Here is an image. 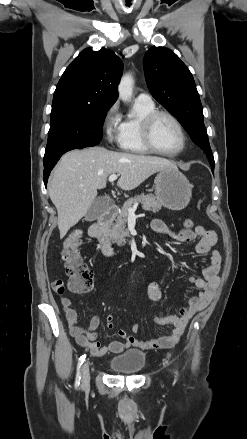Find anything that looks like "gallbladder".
I'll list each match as a JSON object with an SVG mask.
<instances>
[{"label": "gallbladder", "mask_w": 247, "mask_h": 439, "mask_svg": "<svg viewBox=\"0 0 247 439\" xmlns=\"http://www.w3.org/2000/svg\"><path fill=\"white\" fill-rule=\"evenodd\" d=\"M107 209V200L104 197H98L94 200L85 215V220H96Z\"/></svg>", "instance_id": "bac80fb5"}]
</instances>
